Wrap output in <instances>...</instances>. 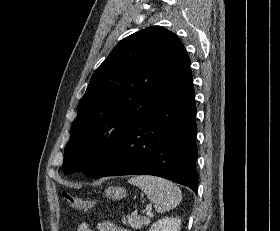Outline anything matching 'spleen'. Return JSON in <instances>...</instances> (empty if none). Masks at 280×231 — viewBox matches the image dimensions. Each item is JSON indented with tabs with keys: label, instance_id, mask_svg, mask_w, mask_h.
Masks as SVG:
<instances>
[{
	"label": "spleen",
	"instance_id": "1",
	"mask_svg": "<svg viewBox=\"0 0 280 231\" xmlns=\"http://www.w3.org/2000/svg\"><path fill=\"white\" fill-rule=\"evenodd\" d=\"M128 181L145 191L148 199L154 203V207L159 213L173 209L182 199L181 189L177 187L176 183L163 179V177L135 175V177H130Z\"/></svg>",
	"mask_w": 280,
	"mask_h": 231
}]
</instances>
